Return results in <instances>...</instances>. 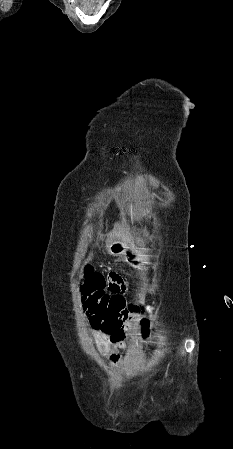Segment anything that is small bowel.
<instances>
[{
    "label": "small bowel",
    "instance_id": "1",
    "mask_svg": "<svg viewBox=\"0 0 233 449\" xmlns=\"http://www.w3.org/2000/svg\"><path fill=\"white\" fill-rule=\"evenodd\" d=\"M107 278L109 280V286L105 288V293L107 295L113 294L114 296L123 297L122 294L129 289V284L122 277L120 271L108 270ZM87 332L98 350L103 355L109 356L112 364H116L120 360V350L128 349L124 342L127 336V328H93L90 317H88Z\"/></svg>",
    "mask_w": 233,
    "mask_h": 449
}]
</instances>
